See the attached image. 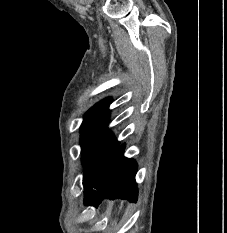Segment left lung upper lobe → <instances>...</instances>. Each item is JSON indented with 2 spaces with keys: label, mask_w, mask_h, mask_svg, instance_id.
<instances>
[{
  "label": "left lung upper lobe",
  "mask_w": 227,
  "mask_h": 233,
  "mask_svg": "<svg viewBox=\"0 0 227 233\" xmlns=\"http://www.w3.org/2000/svg\"><path fill=\"white\" fill-rule=\"evenodd\" d=\"M110 98L94 105L85 115L81 125L82 163L85 168L83 185L85 196L98 189L112 157L118 149V142L109 132Z\"/></svg>",
  "instance_id": "1"
}]
</instances>
